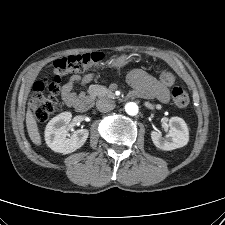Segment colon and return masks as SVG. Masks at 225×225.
<instances>
[{
    "label": "colon",
    "mask_w": 225,
    "mask_h": 225,
    "mask_svg": "<svg viewBox=\"0 0 225 225\" xmlns=\"http://www.w3.org/2000/svg\"><path fill=\"white\" fill-rule=\"evenodd\" d=\"M104 56L100 52H91L78 55H71L54 62L55 77L53 80L42 79L37 81L33 87L30 98V107L38 121L44 122L54 112L60 92L59 82L61 78L72 72H83L91 67L100 66ZM160 78L163 83L170 85L175 81V76L168 70H161ZM175 104L179 107H186L189 103L187 92L181 86H175L172 90Z\"/></svg>",
    "instance_id": "obj_1"
}]
</instances>
